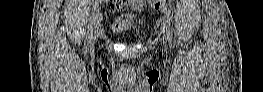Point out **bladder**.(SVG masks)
<instances>
[{
  "instance_id": "31cf9c89",
  "label": "bladder",
  "mask_w": 263,
  "mask_h": 92,
  "mask_svg": "<svg viewBox=\"0 0 263 92\" xmlns=\"http://www.w3.org/2000/svg\"><path fill=\"white\" fill-rule=\"evenodd\" d=\"M137 24H139V17L134 13L116 16L110 23V30L118 35H126Z\"/></svg>"
}]
</instances>
